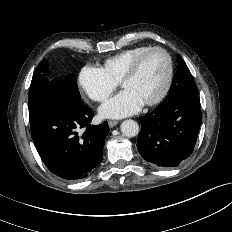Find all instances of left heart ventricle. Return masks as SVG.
Segmentation results:
<instances>
[{
    "label": "left heart ventricle",
    "mask_w": 232,
    "mask_h": 232,
    "mask_svg": "<svg viewBox=\"0 0 232 232\" xmlns=\"http://www.w3.org/2000/svg\"><path fill=\"white\" fill-rule=\"evenodd\" d=\"M167 71L166 56L162 52H153L143 60L136 75L123 85V89L129 90L145 103L160 93Z\"/></svg>",
    "instance_id": "left-heart-ventricle-1"
}]
</instances>
